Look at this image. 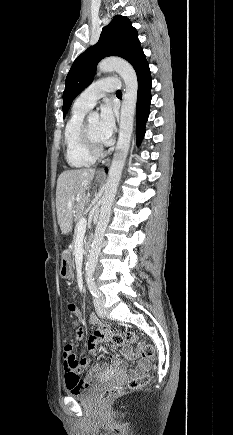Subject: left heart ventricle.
Here are the masks:
<instances>
[{
  "instance_id": "1",
  "label": "left heart ventricle",
  "mask_w": 233,
  "mask_h": 435,
  "mask_svg": "<svg viewBox=\"0 0 233 435\" xmlns=\"http://www.w3.org/2000/svg\"><path fill=\"white\" fill-rule=\"evenodd\" d=\"M88 126H89L90 135L92 137L93 142L96 145L103 146V144L101 143V141L99 139V120L96 118L89 119Z\"/></svg>"
}]
</instances>
